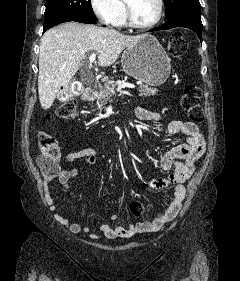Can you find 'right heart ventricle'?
I'll return each instance as SVG.
<instances>
[{"mask_svg": "<svg viewBox=\"0 0 240 281\" xmlns=\"http://www.w3.org/2000/svg\"><path fill=\"white\" fill-rule=\"evenodd\" d=\"M116 4H117V15L113 24L116 26H126L127 19H126L124 0H116Z\"/></svg>", "mask_w": 240, "mask_h": 281, "instance_id": "e07e8e85", "label": "right heart ventricle"}]
</instances>
